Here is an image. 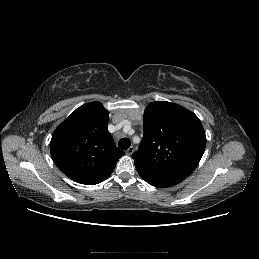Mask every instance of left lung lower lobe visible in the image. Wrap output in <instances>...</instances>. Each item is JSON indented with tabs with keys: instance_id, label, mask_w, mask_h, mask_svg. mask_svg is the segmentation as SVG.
I'll use <instances>...</instances> for the list:
<instances>
[{
	"instance_id": "obj_1",
	"label": "left lung lower lobe",
	"mask_w": 259,
	"mask_h": 259,
	"mask_svg": "<svg viewBox=\"0 0 259 259\" xmlns=\"http://www.w3.org/2000/svg\"><path fill=\"white\" fill-rule=\"evenodd\" d=\"M135 167L141 178L154 187H171L182 181L180 179L158 173L145 165L135 164Z\"/></svg>"
}]
</instances>
